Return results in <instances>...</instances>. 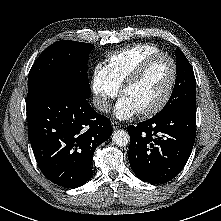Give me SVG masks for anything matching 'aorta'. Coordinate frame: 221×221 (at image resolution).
Listing matches in <instances>:
<instances>
[{"instance_id": "762f6f07", "label": "aorta", "mask_w": 221, "mask_h": 221, "mask_svg": "<svg viewBox=\"0 0 221 221\" xmlns=\"http://www.w3.org/2000/svg\"><path fill=\"white\" fill-rule=\"evenodd\" d=\"M130 141L128 132L124 130H116L112 133V142L117 146L124 147Z\"/></svg>"}]
</instances>
